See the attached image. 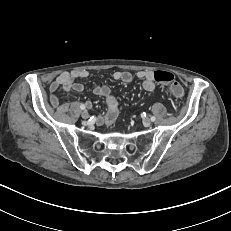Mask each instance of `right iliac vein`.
I'll return each mask as SVG.
<instances>
[{
	"mask_svg": "<svg viewBox=\"0 0 231 231\" xmlns=\"http://www.w3.org/2000/svg\"><path fill=\"white\" fill-rule=\"evenodd\" d=\"M81 116L83 119H88L89 118V113L88 111L84 110L82 113H81Z\"/></svg>",
	"mask_w": 231,
	"mask_h": 231,
	"instance_id": "obj_1",
	"label": "right iliac vein"
}]
</instances>
